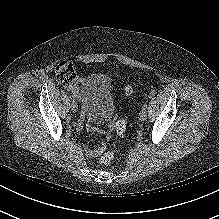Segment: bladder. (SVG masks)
I'll list each match as a JSON object with an SVG mask.
<instances>
[{
    "instance_id": "1",
    "label": "bladder",
    "mask_w": 219,
    "mask_h": 219,
    "mask_svg": "<svg viewBox=\"0 0 219 219\" xmlns=\"http://www.w3.org/2000/svg\"><path fill=\"white\" fill-rule=\"evenodd\" d=\"M80 97L87 115L96 122L109 121L116 112V103L108 78L94 72L83 78Z\"/></svg>"
}]
</instances>
